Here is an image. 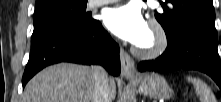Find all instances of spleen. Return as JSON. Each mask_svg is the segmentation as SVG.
<instances>
[{"label":"spleen","mask_w":221,"mask_h":102,"mask_svg":"<svg viewBox=\"0 0 221 102\" xmlns=\"http://www.w3.org/2000/svg\"><path fill=\"white\" fill-rule=\"evenodd\" d=\"M186 79L193 84L201 102H216L214 94L206 83L198 78H192L190 76L186 77Z\"/></svg>","instance_id":"3e777b00"}]
</instances>
